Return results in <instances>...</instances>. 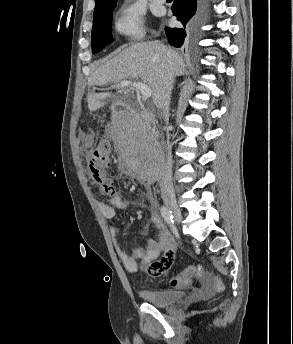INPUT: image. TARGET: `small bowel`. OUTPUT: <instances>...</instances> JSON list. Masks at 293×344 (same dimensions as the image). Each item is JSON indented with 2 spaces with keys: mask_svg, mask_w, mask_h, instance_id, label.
<instances>
[{
  "mask_svg": "<svg viewBox=\"0 0 293 344\" xmlns=\"http://www.w3.org/2000/svg\"><path fill=\"white\" fill-rule=\"evenodd\" d=\"M79 141L83 150L89 148L90 140L88 137L80 136ZM124 207L125 201L119 194L112 196L109 204H99V210L109 220L115 218L116 209H122ZM150 221L158 229V241L150 239L143 246L133 249L131 253L126 252L120 244L118 240L119 229L117 227H110L109 231L116 254L129 272L137 273L141 270H146L150 276L157 277L166 273L171 268L175 257L176 246L169 231L164 227L156 213L151 215ZM161 253L162 257L159 258ZM194 278L198 280L199 286L193 288L190 297L191 300H199L215 293V283L209 275H198ZM191 282L192 279L188 280L183 286Z\"/></svg>",
  "mask_w": 293,
  "mask_h": 344,
  "instance_id": "obj_1",
  "label": "small bowel"
}]
</instances>
